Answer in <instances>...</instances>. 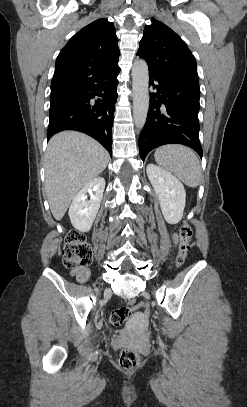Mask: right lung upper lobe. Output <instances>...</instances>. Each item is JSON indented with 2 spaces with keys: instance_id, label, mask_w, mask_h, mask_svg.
I'll return each mask as SVG.
<instances>
[{
  "instance_id": "obj_1",
  "label": "right lung upper lobe",
  "mask_w": 247,
  "mask_h": 407,
  "mask_svg": "<svg viewBox=\"0 0 247 407\" xmlns=\"http://www.w3.org/2000/svg\"><path fill=\"white\" fill-rule=\"evenodd\" d=\"M119 55L114 24L105 18L90 23L60 51L51 91L79 87L94 73L118 65Z\"/></svg>"
}]
</instances>
